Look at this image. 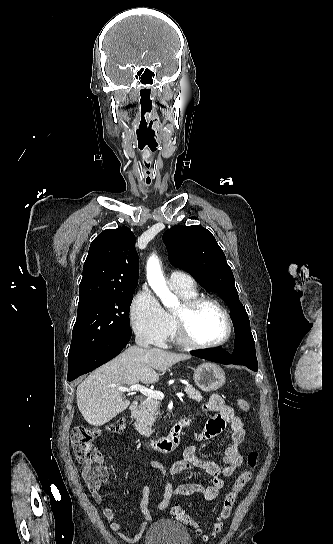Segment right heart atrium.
I'll return each mask as SVG.
<instances>
[{
	"mask_svg": "<svg viewBox=\"0 0 333 544\" xmlns=\"http://www.w3.org/2000/svg\"><path fill=\"white\" fill-rule=\"evenodd\" d=\"M129 316L134 333L146 342L163 346L169 338V316L148 288H142L134 296Z\"/></svg>",
	"mask_w": 333,
	"mask_h": 544,
	"instance_id": "1",
	"label": "right heart atrium"
}]
</instances>
